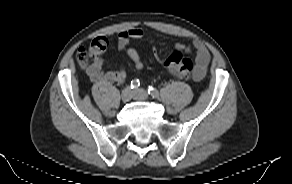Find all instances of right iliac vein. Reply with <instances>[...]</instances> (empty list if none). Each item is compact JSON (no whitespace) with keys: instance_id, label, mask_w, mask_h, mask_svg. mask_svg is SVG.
<instances>
[{"instance_id":"63e3f726","label":"right iliac vein","mask_w":292,"mask_h":184,"mask_svg":"<svg viewBox=\"0 0 292 184\" xmlns=\"http://www.w3.org/2000/svg\"><path fill=\"white\" fill-rule=\"evenodd\" d=\"M132 96H133V91L131 90L130 87H126L123 89L122 94H121V99L123 102L130 101Z\"/></svg>"}]
</instances>
